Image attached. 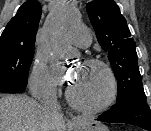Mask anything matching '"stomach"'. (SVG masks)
Returning a JSON list of instances; mask_svg holds the SVG:
<instances>
[{
  "mask_svg": "<svg viewBox=\"0 0 151 131\" xmlns=\"http://www.w3.org/2000/svg\"><path fill=\"white\" fill-rule=\"evenodd\" d=\"M75 131H109L108 128L93 120H81L74 124Z\"/></svg>",
  "mask_w": 151,
  "mask_h": 131,
  "instance_id": "1",
  "label": "stomach"
}]
</instances>
